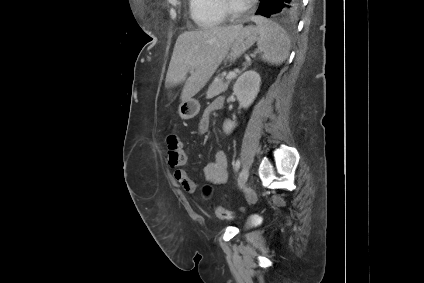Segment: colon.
<instances>
[{
  "mask_svg": "<svg viewBox=\"0 0 424 283\" xmlns=\"http://www.w3.org/2000/svg\"><path fill=\"white\" fill-rule=\"evenodd\" d=\"M166 141H167V154L172 153L171 155H173L171 159L172 165H176L182 162V158H180V153L176 151V149H180V147L182 146L178 136L173 133H170L167 135ZM178 155H179V158H178ZM206 191H209V188H206ZM214 212L217 218L219 219L227 220L232 218V213L221 206L215 207Z\"/></svg>",
  "mask_w": 424,
  "mask_h": 283,
  "instance_id": "obj_1",
  "label": "colon"
}]
</instances>
